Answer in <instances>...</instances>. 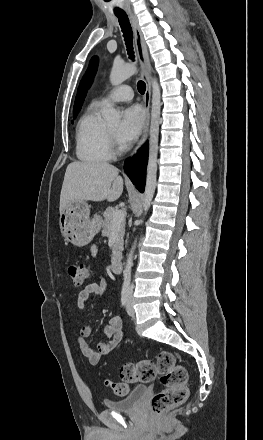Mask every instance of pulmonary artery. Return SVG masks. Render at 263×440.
<instances>
[{"label": "pulmonary artery", "instance_id": "1", "mask_svg": "<svg viewBox=\"0 0 263 440\" xmlns=\"http://www.w3.org/2000/svg\"><path fill=\"white\" fill-rule=\"evenodd\" d=\"M134 96L133 89L129 85H121L97 101L99 105H109L117 102L132 100Z\"/></svg>", "mask_w": 263, "mask_h": 440}]
</instances>
